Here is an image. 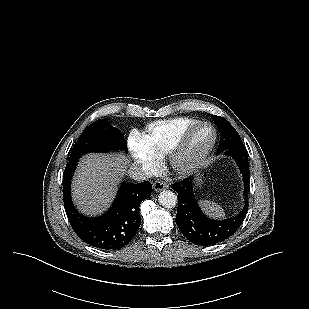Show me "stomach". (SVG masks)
I'll return each instance as SVG.
<instances>
[{
	"label": "stomach",
	"instance_id": "0dacf381",
	"mask_svg": "<svg viewBox=\"0 0 309 309\" xmlns=\"http://www.w3.org/2000/svg\"><path fill=\"white\" fill-rule=\"evenodd\" d=\"M202 182H203L202 177H201V176H198V177L196 178V185H197V186H200V185L202 184Z\"/></svg>",
	"mask_w": 309,
	"mask_h": 309
}]
</instances>
